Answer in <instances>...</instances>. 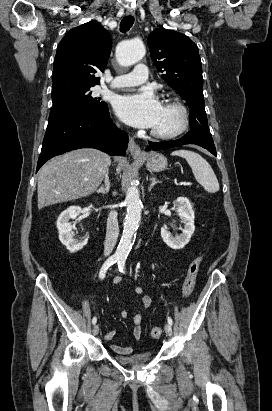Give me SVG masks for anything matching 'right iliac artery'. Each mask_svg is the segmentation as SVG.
Listing matches in <instances>:
<instances>
[{"mask_svg":"<svg viewBox=\"0 0 272 411\" xmlns=\"http://www.w3.org/2000/svg\"><path fill=\"white\" fill-rule=\"evenodd\" d=\"M118 260H119V257H117V256H111V257H109V258L104 262V264L102 265V267H101V269H100L99 278H100V279H104V277L106 276V272H107L108 268H109L111 265H113L114 263H116ZM96 322H97V318L94 317V318L92 319V324H96Z\"/></svg>","mask_w":272,"mask_h":411,"instance_id":"obj_1","label":"right iliac artery"}]
</instances>
